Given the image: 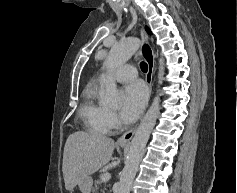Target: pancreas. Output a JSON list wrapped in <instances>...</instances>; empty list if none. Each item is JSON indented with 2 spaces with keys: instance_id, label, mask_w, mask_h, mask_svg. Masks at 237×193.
Listing matches in <instances>:
<instances>
[{
  "instance_id": "1",
  "label": "pancreas",
  "mask_w": 237,
  "mask_h": 193,
  "mask_svg": "<svg viewBox=\"0 0 237 193\" xmlns=\"http://www.w3.org/2000/svg\"><path fill=\"white\" fill-rule=\"evenodd\" d=\"M102 176L103 174H100L99 179H97L95 181V189H94V193H96V190L99 188V186L102 184ZM104 190H106V188H104Z\"/></svg>"
}]
</instances>
